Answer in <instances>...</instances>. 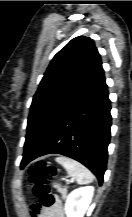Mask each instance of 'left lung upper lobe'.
<instances>
[{
	"mask_svg": "<svg viewBox=\"0 0 132 217\" xmlns=\"http://www.w3.org/2000/svg\"><path fill=\"white\" fill-rule=\"evenodd\" d=\"M102 67L94 41L72 39L52 59L30 107L24 154L42 140L62 112L78 98Z\"/></svg>",
	"mask_w": 132,
	"mask_h": 217,
	"instance_id": "5c2ea615",
	"label": "left lung upper lobe"
}]
</instances>
